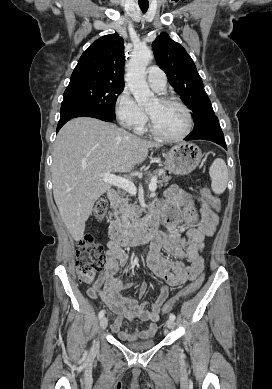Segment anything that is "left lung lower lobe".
<instances>
[{
	"label": "left lung lower lobe",
	"mask_w": 272,
	"mask_h": 389,
	"mask_svg": "<svg viewBox=\"0 0 272 389\" xmlns=\"http://www.w3.org/2000/svg\"><path fill=\"white\" fill-rule=\"evenodd\" d=\"M204 139L213 141L227 150L223 132L221 130L218 118L215 117L199 129L193 130L186 138V141Z\"/></svg>",
	"instance_id": "0a47b994"
}]
</instances>
